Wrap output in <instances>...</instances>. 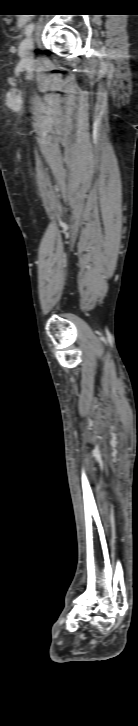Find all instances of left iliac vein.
Listing matches in <instances>:
<instances>
[{
  "label": "left iliac vein",
  "mask_w": 138,
  "mask_h": 726,
  "mask_svg": "<svg viewBox=\"0 0 138 726\" xmlns=\"http://www.w3.org/2000/svg\"><path fill=\"white\" fill-rule=\"evenodd\" d=\"M33 48V36L29 35L25 40H23L19 47V54L23 63H29L33 60Z\"/></svg>",
  "instance_id": "left-iliac-vein-1"
}]
</instances>
